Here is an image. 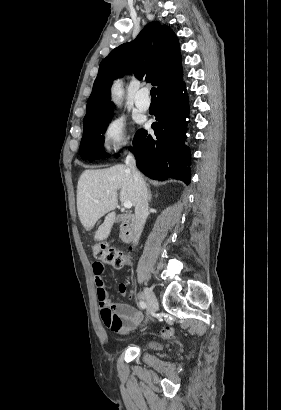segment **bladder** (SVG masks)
Wrapping results in <instances>:
<instances>
[{"label": "bladder", "instance_id": "1", "mask_svg": "<svg viewBox=\"0 0 281 410\" xmlns=\"http://www.w3.org/2000/svg\"><path fill=\"white\" fill-rule=\"evenodd\" d=\"M149 345H150L152 348H158V347H159L156 343H153V342L149 343Z\"/></svg>", "mask_w": 281, "mask_h": 410}]
</instances>
